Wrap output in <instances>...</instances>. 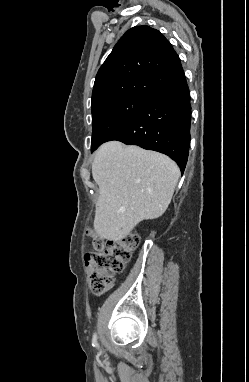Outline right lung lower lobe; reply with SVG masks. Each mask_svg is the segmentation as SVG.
I'll return each mask as SVG.
<instances>
[{"label":"right lung lower lobe","instance_id":"right-lung-lower-lobe-1","mask_svg":"<svg viewBox=\"0 0 249 382\" xmlns=\"http://www.w3.org/2000/svg\"><path fill=\"white\" fill-rule=\"evenodd\" d=\"M190 124V92L183 72L149 98L137 116L107 141L118 140L166 154L183 173L190 148Z\"/></svg>","mask_w":249,"mask_h":382}]
</instances>
